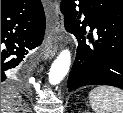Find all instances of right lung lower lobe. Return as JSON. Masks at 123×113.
I'll return each mask as SVG.
<instances>
[{
  "mask_svg": "<svg viewBox=\"0 0 123 113\" xmlns=\"http://www.w3.org/2000/svg\"><path fill=\"white\" fill-rule=\"evenodd\" d=\"M44 33L40 0H15L1 8V82L6 71L20 66L28 50L41 44Z\"/></svg>",
  "mask_w": 123,
  "mask_h": 113,
  "instance_id": "obj_1",
  "label": "right lung lower lobe"
}]
</instances>
